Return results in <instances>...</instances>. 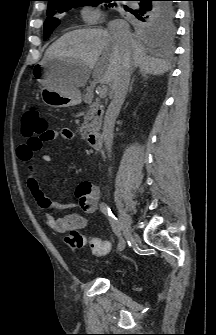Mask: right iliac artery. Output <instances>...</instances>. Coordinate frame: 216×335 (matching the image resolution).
Segmentation results:
<instances>
[{"instance_id":"obj_1","label":"right iliac artery","mask_w":216,"mask_h":335,"mask_svg":"<svg viewBox=\"0 0 216 335\" xmlns=\"http://www.w3.org/2000/svg\"><path fill=\"white\" fill-rule=\"evenodd\" d=\"M100 210L104 215L108 217L112 230L118 237L117 252L123 251L125 248V240L121 234V229H122L121 224L119 223L118 219L112 213L110 207L105 202H102L100 204Z\"/></svg>"}]
</instances>
